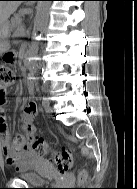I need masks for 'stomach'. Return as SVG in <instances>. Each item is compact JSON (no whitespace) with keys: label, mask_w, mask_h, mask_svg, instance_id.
I'll return each instance as SVG.
<instances>
[{"label":"stomach","mask_w":137,"mask_h":189,"mask_svg":"<svg viewBox=\"0 0 137 189\" xmlns=\"http://www.w3.org/2000/svg\"><path fill=\"white\" fill-rule=\"evenodd\" d=\"M9 25L5 23L2 28H0V53H3L8 48L7 37L9 35Z\"/></svg>","instance_id":"0dacf381"}]
</instances>
